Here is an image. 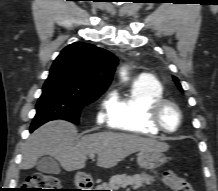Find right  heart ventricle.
I'll return each instance as SVG.
<instances>
[{
    "label": "right heart ventricle",
    "mask_w": 218,
    "mask_h": 191,
    "mask_svg": "<svg viewBox=\"0 0 218 191\" xmlns=\"http://www.w3.org/2000/svg\"><path fill=\"white\" fill-rule=\"evenodd\" d=\"M163 98V86L157 79H136L129 94L117 98L108 123L123 132L156 136L160 131L150 123L149 112L151 106Z\"/></svg>",
    "instance_id": "1"
}]
</instances>
